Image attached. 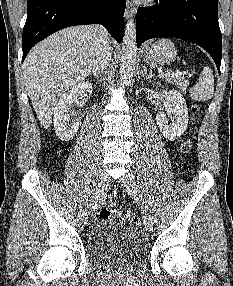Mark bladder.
Returning <instances> with one entry per match:
<instances>
[{
    "mask_svg": "<svg viewBox=\"0 0 233 286\" xmlns=\"http://www.w3.org/2000/svg\"><path fill=\"white\" fill-rule=\"evenodd\" d=\"M88 252L95 263L113 268L141 265L149 244L135 227L112 218H101L88 237Z\"/></svg>",
    "mask_w": 233,
    "mask_h": 286,
    "instance_id": "1",
    "label": "bladder"
}]
</instances>
